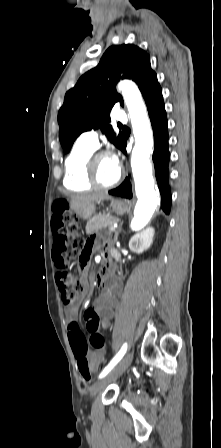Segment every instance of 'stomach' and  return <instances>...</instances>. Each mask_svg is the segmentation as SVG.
<instances>
[{"mask_svg": "<svg viewBox=\"0 0 221 448\" xmlns=\"http://www.w3.org/2000/svg\"><path fill=\"white\" fill-rule=\"evenodd\" d=\"M70 207L75 211V213L82 219L88 220L92 216L95 206L94 204L80 207H73L72 204ZM110 207L112 211L116 214L122 215L129 209V203L120 199L110 198Z\"/></svg>", "mask_w": 221, "mask_h": 448, "instance_id": "1", "label": "stomach"}]
</instances>
